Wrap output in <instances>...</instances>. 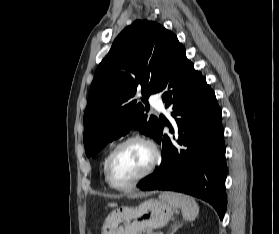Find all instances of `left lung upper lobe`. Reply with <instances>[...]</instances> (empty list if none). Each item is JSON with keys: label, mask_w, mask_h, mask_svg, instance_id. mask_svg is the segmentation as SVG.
I'll list each match as a JSON object with an SVG mask.
<instances>
[{"label": "left lung upper lobe", "mask_w": 279, "mask_h": 234, "mask_svg": "<svg viewBox=\"0 0 279 234\" xmlns=\"http://www.w3.org/2000/svg\"><path fill=\"white\" fill-rule=\"evenodd\" d=\"M182 47L175 34L153 21H135L118 35L95 72L88 96L83 137L88 157L131 128L156 138L158 118L147 116L133 97L140 86L143 102L158 92Z\"/></svg>", "instance_id": "obj_1"}]
</instances>
